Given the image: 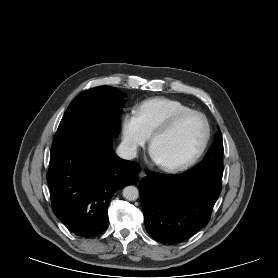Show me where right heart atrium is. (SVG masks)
<instances>
[{"label":"right heart atrium","instance_id":"d8ad5b80","mask_svg":"<svg viewBox=\"0 0 278 278\" xmlns=\"http://www.w3.org/2000/svg\"><path fill=\"white\" fill-rule=\"evenodd\" d=\"M121 142L127 154L135 156L147 143L150 134L144 128L135 111L126 112L121 117Z\"/></svg>","mask_w":278,"mask_h":278}]
</instances>
